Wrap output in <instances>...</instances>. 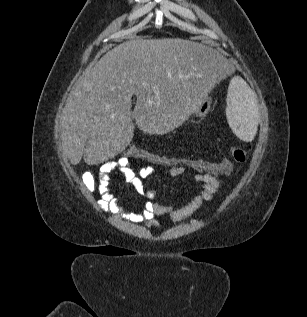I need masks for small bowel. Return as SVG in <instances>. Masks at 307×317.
I'll return each instance as SVG.
<instances>
[{"mask_svg": "<svg viewBox=\"0 0 307 317\" xmlns=\"http://www.w3.org/2000/svg\"><path fill=\"white\" fill-rule=\"evenodd\" d=\"M113 171L121 173L127 182L131 183L136 191L147 198L144 207L138 211H125L119 203L118 198L113 195L109 187ZM155 172V167L145 166L136 168L131 162L123 159L104 163L98 172L97 189L100 194L99 206L105 212H110L133 222L149 221V224H156L155 216L169 215L173 221H181L200 209L204 203L210 201L216 194L221 178L210 174L195 172L191 180L199 185V189L193 198L184 205H162L154 202L157 192L154 189L146 190L143 180ZM164 174L171 178L180 177L185 174L183 167L164 168Z\"/></svg>", "mask_w": 307, "mask_h": 317, "instance_id": "small-bowel-1", "label": "small bowel"}]
</instances>
